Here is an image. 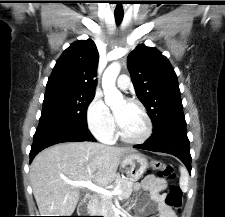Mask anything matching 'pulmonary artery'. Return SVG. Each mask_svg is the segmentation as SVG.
Segmentation results:
<instances>
[{
	"label": "pulmonary artery",
	"mask_w": 225,
	"mask_h": 217,
	"mask_svg": "<svg viewBox=\"0 0 225 217\" xmlns=\"http://www.w3.org/2000/svg\"><path fill=\"white\" fill-rule=\"evenodd\" d=\"M130 85V79L127 75H120L117 79V86L122 90H126Z\"/></svg>",
	"instance_id": "obj_1"
}]
</instances>
